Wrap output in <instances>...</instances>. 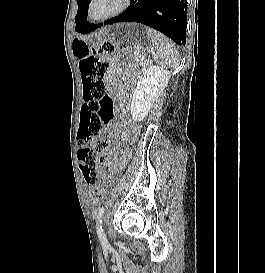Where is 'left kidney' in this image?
<instances>
[{"mask_svg": "<svg viewBox=\"0 0 265 273\" xmlns=\"http://www.w3.org/2000/svg\"><path fill=\"white\" fill-rule=\"evenodd\" d=\"M170 71L151 65L139 77L130 106L132 119L142 121L168 84Z\"/></svg>", "mask_w": 265, "mask_h": 273, "instance_id": "5707ae66", "label": "left kidney"}]
</instances>
